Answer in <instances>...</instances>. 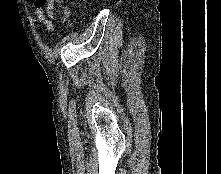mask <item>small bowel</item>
Wrapping results in <instances>:
<instances>
[{"mask_svg":"<svg viewBox=\"0 0 221 174\" xmlns=\"http://www.w3.org/2000/svg\"><path fill=\"white\" fill-rule=\"evenodd\" d=\"M35 4H36L35 14H36L38 21H40L46 27L47 30L53 31L54 25H53L52 21L48 18V16L45 14V12L43 10L44 7L40 6L37 3V1L35 2ZM48 13H49L50 17H53V14H50V12H49V8H48ZM62 16L65 21L68 20V18L70 16L69 10L64 9L62 11Z\"/></svg>","mask_w":221,"mask_h":174,"instance_id":"small-bowel-1","label":"small bowel"}]
</instances>
